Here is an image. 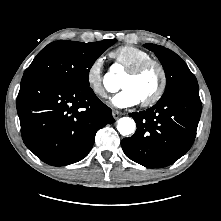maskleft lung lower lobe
<instances>
[{
  "instance_id": "obj_1",
  "label": "left lung lower lobe",
  "mask_w": 221,
  "mask_h": 221,
  "mask_svg": "<svg viewBox=\"0 0 221 221\" xmlns=\"http://www.w3.org/2000/svg\"><path fill=\"white\" fill-rule=\"evenodd\" d=\"M199 91L183 90L130 113L137 130L121 142L125 155L148 168L171 165L192 146L201 115Z\"/></svg>"
}]
</instances>
